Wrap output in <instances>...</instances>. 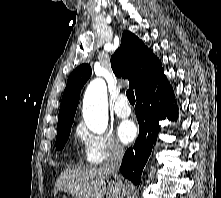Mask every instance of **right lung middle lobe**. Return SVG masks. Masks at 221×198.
Wrapping results in <instances>:
<instances>
[{
	"label": "right lung middle lobe",
	"mask_w": 221,
	"mask_h": 198,
	"mask_svg": "<svg viewBox=\"0 0 221 198\" xmlns=\"http://www.w3.org/2000/svg\"><path fill=\"white\" fill-rule=\"evenodd\" d=\"M71 131V126L67 127L65 129H62L60 131H57V137H56V150H62L65 143L67 142L69 138V134Z\"/></svg>",
	"instance_id": "1"
}]
</instances>
